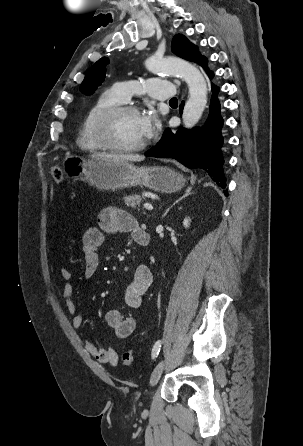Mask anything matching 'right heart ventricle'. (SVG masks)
Masks as SVG:
<instances>
[{"label":"right heart ventricle","mask_w":303,"mask_h":446,"mask_svg":"<svg viewBox=\"0 0 303 446\" xmlns=\"http://www.w3.org/2000/svg\"><path fill=\"white\" fill-rule=\"evenodd\" d=\"M121 103H123L122 99L113 88L105 90L94 100L78 130L76 143L80 149L85 151H99L104 149L96 140L93 133L96 117L105 108Z\"/></svg>","instance_id":"e07e8e85"}]
</instances>
